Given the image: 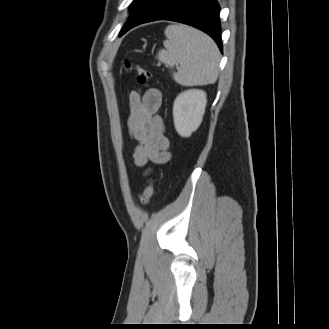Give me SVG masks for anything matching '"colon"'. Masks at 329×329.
<instances>
[{
  "label": "colon",
  "instance_id": "obj_1",
  "mask_svg": "<svg viewBox=\"0 0 329 329\" xmlns=\"http://www.w3.org/2000/svg\"><path fill=\"white\" fill-rule=\"evenodd\" d=\"M126 68L135 75L136 80L139 84H147L150 79V73L148 70H146L144 67L140 65H134L130 62L125 63ZM155 191V184L151 180L147 186L144 188V190L139 193V201L143 205H147Z\"/></svg>",
  "mask_w": 329,
  "mask_h": 329
}]
</instances>
